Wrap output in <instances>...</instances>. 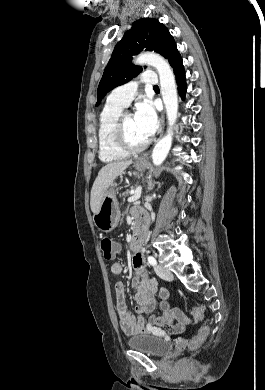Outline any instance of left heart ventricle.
Masks as SVG:
<instances>
[{
  "mask_svg": "<svg viewBox=\"0 0 265 390\" xmlns=\"http://www.w3.org/2000/svg\"><path fill=\"white\" fill-rule=\"evenodd\" d=\"M124 129L127 139L132 145L137 146L146 141V139L139 132L132 115H128L125 118Z\"/></svg>",
  "mask_w": 265,
  "mask_h": 390,
  "instance_id": "1",
  "label": "left heart ventricle"
}]
</instances>
